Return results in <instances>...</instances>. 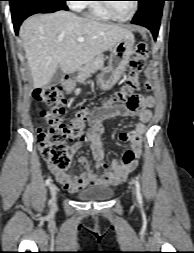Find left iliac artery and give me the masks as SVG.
I'll list each match as a JSON object with an SVG mask.
<instances>
[{
  "label": "left iliac artery",
  "instance_id": "left-iliac-artery-1",
  "mask_svg": "<svg viewBox=\"0 0 194 253\" xmlns=\"http://www.w3.org/2000/svg\"><path fill=\"white\" fill-rule=\"evenodd\" d=\"M135 186H136V191H137V200L140 204H142V195L140 192V182L138 181V179H135Z\"/></svg>",
  "mask_w": 194,
  "mask_h": 253
}]
</instances>
